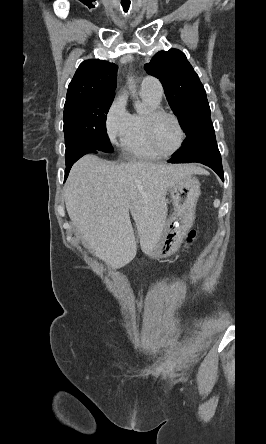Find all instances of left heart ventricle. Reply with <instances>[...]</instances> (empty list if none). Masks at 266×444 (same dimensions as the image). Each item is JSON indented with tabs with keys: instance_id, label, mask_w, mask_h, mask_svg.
<instances>
[{
	"instance_id": "b2bd125f",
	"label": "left heart ventricle",
	"mask_w": 266,
	"mask_h": 444,
	"mask_svg": "<svg viewBox=\"0 0 266 444\" xmlns=\"http://www.w3.org/2000/svg\"><path fill=\"white\" fill-rule=\"evenodd\" d=\"M154 137L162 151L174 150L179 142V131L175 121L167 116L159 118L154 126Z\"/></svg>"
}]
</instances>
